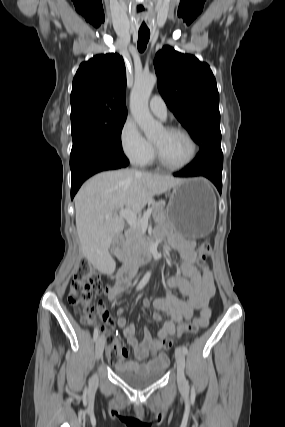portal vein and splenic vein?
I'll return each instance as SVG.
<instances>
[{
  "label": "portal vein and splenic vein",
  "instance_id": "18ae733b",
  "mask_svg": "<svg viewBox=\"0 0 285 427\" xmlns=\"http://www.w3.org/2000/svg\"><path fill=\"white\" fill-rule=\"evenodd\" d=\"M151 213L152 209H148L142 217H138L137 213L129 208H123L119 211V216L125 218L131 227L139 226L142 230H146ZM107 216H110V214H107Z\"/></svg>",
  "mask_w": 285,
  "mask_h": 427
}]
</instances>
